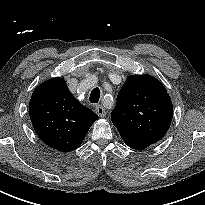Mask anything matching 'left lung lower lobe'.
<instances>
[{
  "instance_id": "0a47b994",
  "label": "left lung lower lobe",
  "mask_w": 205,
  "mask_h": 205,
  "mask_svg": "<svg viewBox=\"0 0 205 205\" xmlns=\"http://www.w3.org/2000/svg\"><path fill=\"white\" fill-rule=\"evenodd\" d=\"M122 139L124 140L125 144L128 145L130 148L135 149V150H143L145 148H147L148 146L135 141L133 139H130L124 135H121Z\"/></svg>"
}]
</instances>
